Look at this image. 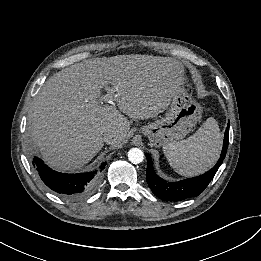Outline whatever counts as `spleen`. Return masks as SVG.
I'll use <instances>...</instances> for the list:
<instances>
[{"label": "spleen", "mask_w": 261, "mask_h": 261, "mask_svg": "<svg viewBox=\"0 0 261 261\" xmlns=\"http://www.w3.org/2000/svg\"><path fill=\"white\" fill-rule=\"evenodd\" d=\"M221 146L222 135L218 123L210 117L186 140L164 145L163 152L178 174L195 176L216 163Z\"/></svg>", "instance_id": "spleen-1"}]
</instances>
